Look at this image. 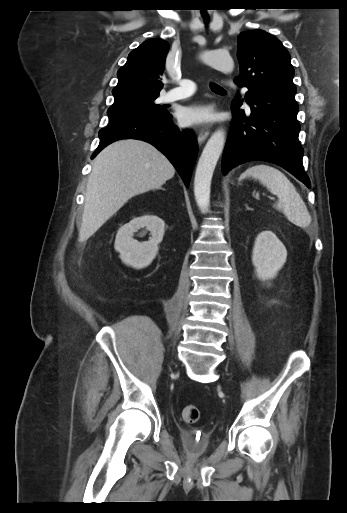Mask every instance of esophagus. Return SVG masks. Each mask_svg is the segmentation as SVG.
<instances>
[{"instance_id": "1", "label": "esophagus", "mask_w": 347, "mask_h": 513, "mask_svg": "<svg viewBox=\"0 0 347 513\" xmlns=\"http://www.w3.org/2000/svg\"><path fill=\"white\" fill-rule=\"evenodd\" d=\"M209 133H210V130H209L208 125L201 127L200 132L197 137L198 143L200 145L208 138Z\"/></svg>"}]
</instances>
